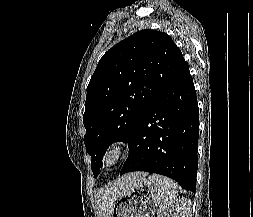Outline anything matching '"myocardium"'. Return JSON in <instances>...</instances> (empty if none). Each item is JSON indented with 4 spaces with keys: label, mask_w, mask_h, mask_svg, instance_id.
Segmentation results:
<instances>
[{
    "label": "myocardium",
    "mask_w": 253,
    "mask_h": 217,
    "mask_svg": "<svg viewBox=\"0 0 253 217\" xmlns=\"http://www.w3.org/2000/svg\"><path fill=\"white\" fill-rule=\"evenodd\" d=\"M128 149V143L122 138L111 141L102 153L101 167L106 171L114 170L126 157Z\"/></svg>",
    "instance_id": "myocardium-1"
}]
</instances>
